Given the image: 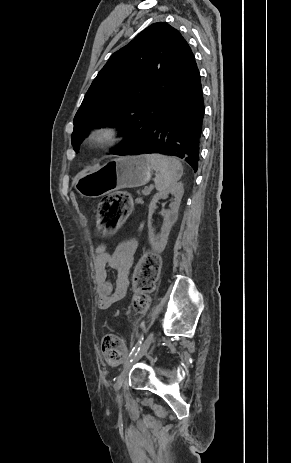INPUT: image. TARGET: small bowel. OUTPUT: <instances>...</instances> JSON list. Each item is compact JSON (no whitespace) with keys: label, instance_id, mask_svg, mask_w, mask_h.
<instances>
[{"label":"small bowel","instance_id":"c3829d8e","mask_svg":"<svg viewBox=\"0 0 291 463\" xmlns=\"http://www.w3.org/2000/svg\"><path fill=\"white\" fill-rule=\"evenodd\" d=\"M136 250L137 241L134 239L119 243L112 253L103 246L96 249L93 257V281L99 309H108L126 296L129 287V272ZM108 268L114 269L117 273L114 283L108 278Z\"/></svg>","mask_w":291,"mask_h":463}]
</instances>
